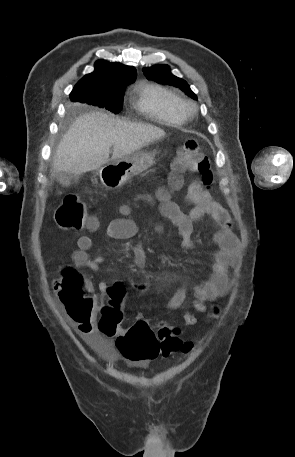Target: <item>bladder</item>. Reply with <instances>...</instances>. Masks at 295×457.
Masks as SVG:
<instances>
[{"label":"bladder","instance_id":"obj_1","mask_svg":"<svg viewBox=\"0 0 295 457\" xmlns=\"http://www.w3.org/2000/svg\"><path fill=\"white\" fill-rule=\"evenodd\" d=\"M83 347H110V338H83ZM103 354L108 351L103 349Z\"/></svg>","mask_w":295,"mask_h":457}]
</instances>
